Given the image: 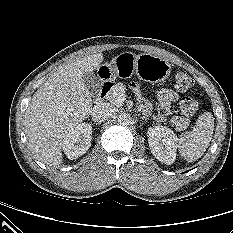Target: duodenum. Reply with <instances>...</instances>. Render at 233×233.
<instances>
[{
    "label": "duodenum",
    "mask_w": 233,
    "mask_h": 233,
    "mask_svg": "<svg viewBox=\"0 0 233 233\" xmlns=\"http://www.w3.org/2000/svg\"><path fill=\"white\" fill-rule=\"evenodd\" d=\"M112 86H113V81L110 78H107L102 82L99 94L96 98L97 104H100L105 100V98L108 95L109 91L111 90Z\"/></svg>",
    "instance_id": "1"
}]
</instances>
